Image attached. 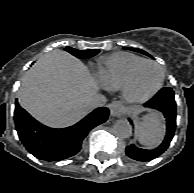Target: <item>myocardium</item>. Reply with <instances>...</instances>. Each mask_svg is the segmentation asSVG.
I'll return each mask as SVG.
<instances>
[{
	"mask_svg": "<svg viewBox=\"0 0 194 193\" xmlns=\"http://www.w3.org/2000/svg\"><path fill=\"white\" fill-rule=\"evenodd\" d=\"M144 64H151L156 66L157 68H159L160 70V79L158 81V84L156 85V87L148 94H144V95H133L130 93V87L133 83V80L135 78V75L137 73V71L139 70V68L141 66H143ZM164 79H165V70L164 67L151 59H144L140 62H138L137 64H135L130 71L128 72V74L126 75L125 79L123 80L119 90H120V94L122 96V98L128 102V103H142L145 102L149 99H151L152 97H154L162 88L163 83H164Z\"/></svg>",
	"mask_w": 194,
	"mask_h": 193,
	"instance_id": "f54148a6",
	"label": "myocardium"
}]
</instances>
